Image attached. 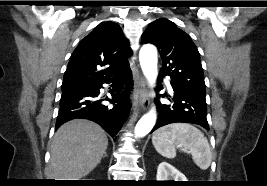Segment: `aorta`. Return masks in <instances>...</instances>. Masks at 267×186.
<instances>
[{
	"label": "aorta",
	"mask_w": 267,
	"mask_h": 186,
	"mask_svg": "<svg viewBox=\"0 0 267 186\" xmlns=\"http://www.w3.org/2000/svg\"><path fill=\"white\" fill-rule=\"evenodd\" d=\"M139 60L144 76L154 86L157 78V50L153 45H144L139 53ZM156 123V111L151 109L148 113L143 115L135 127V134L137 136L147 135Z\"/></svg>",
	"instance_id": "762f6f07"
}]
</instances>
